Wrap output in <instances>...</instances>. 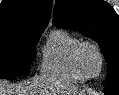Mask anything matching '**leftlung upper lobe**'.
Wrapping results in <instances>:
<instances>
[{
  "label": "left lung upper lobe",
  "instance_id": "left-lung-upper-lobe-1",
  "mask_svg": "<svg viewBox=\"0 0 119 95\" xmlns=\"http://www.w3.org/2000/svg\"><path fill=\"white\" fill-rule=\"evenodd\" d=\"M53 24L95 40L107 62L105 94L119 95V17L103 0H56Z\"/></svg>",
  "mask_w": 119,
  "mask_h": 95
}]
</instances>
